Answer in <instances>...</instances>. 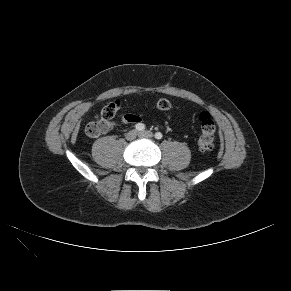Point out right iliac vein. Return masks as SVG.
<instances>
[{
    "label": "right iliac vein",
    "instance_id": "1",
    "mask_svg": "<svg viewBox=\"0 0 291 291\" xmlns=\"http://www.w3.org/2000/svg\"><path fill=\"white\" fill-rule=\"evenodd\" d=\"M137 136V131L136 130H131L126 134V139L127 140H134Z\"/></svg>",
    "mask_w": 291,
    "mask_h": 291
}]
</instances>
